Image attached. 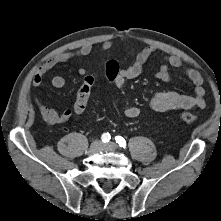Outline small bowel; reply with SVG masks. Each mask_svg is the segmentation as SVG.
<instances>
[{
	"label": "small bowel",
	"instance_id": "obj_1",
	"mask_svg": "<svg viewBox=\"0 0 221 221\" xmlns=\"http://www.w3.org/2000/svg\"><path fill=\"white\" fill-rule=\"evenodd\" d=\"M113 47L110 40H106L101 44L103 51H109ZM92 51V46L86 44L81 46L75 51L61 52L48 59L41 66L36 69L35 75L32 80L34 87H40L44 82L45 74L53 69L56 65L66 62L73 57L86 56ZM156 52L155 47H145L139 51L132 52L134 56L133 64L120 68L118 78L113 84L119 88L123 87L125 83L133 78L138 77L143 72L144 64ZM169 68L181 69L182 61L176 56H168L165 58L163 64L156 72V77L162 81L169 82L171 75ZM185 74L194 84V94L188 95L178 91H159L155 92L151 97L149 106L156 112H167L172 110H188L193 108H203L205 106V88L203 87L202 75L195 69L185 68ZM79 74L85 78L88 75L86 69H79ZM66 84L62 76H54L51 79V85L55 88H62ZM35 104L38 111L45 121L51 125H60L69 120L74 114V109H67L62 113H58L54 109L43 104L39 99H35ZM124 114L128 118H136L140 114V109L136 106H129L125 109Z\"/></svg>",
	"mask_w": 221,
	"mask_h": 221
}]
</instances>
